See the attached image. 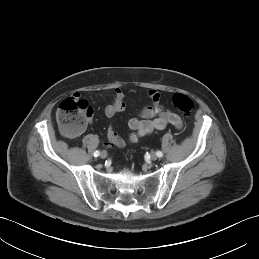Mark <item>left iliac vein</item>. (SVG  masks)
Listing matches in <instances>:
<instances>
[{"instance_id":"1","label":"left iliac vein","mask_w":259,"mask_h":259,"mask_svg":"<svg viewBox=\"0 0 259 259\" xmlns=\"http://www.w3.org/2000/svg\"><path fill=\"white\" fill-rule=\"evenodd\" d=\"M157 159H158L157 154H156L155 152H152V153H151V160H152V161H156Z\"/></svg>"}]
</instances>
